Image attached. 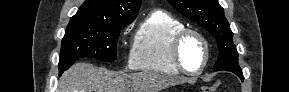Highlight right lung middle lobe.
<instances>
[{
	"label": "right lung middle lobe",
	"mask_w": 289,
	"mask_h": 92,
	"mask_svg": "<svg viewBox=\"0 0 289 92\" xmlns=\"http://www.w3.org/2000/svg\"><path fill=\"white\" fill-rule=\"evenodd\" d=\"M126 25L68 24L59 55V74L82 57L115 61L119 33Z\"/></svg>",
	"instance_id": "obj_1"
}]
</instances>
